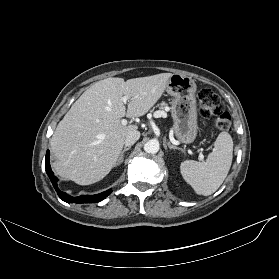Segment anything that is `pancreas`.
<instances>
[{
  "label": "pancreas",
  "mask_w": 279,
  "mask_h": 279,
  "mask_svg": "<svg viewBox=\"0 0 279 279\" xmlns=\"http://www.w3.org/2000/svg\"><path fill=\"white\" fill-rule=\"evenodd\" d=\"M167 107H168V105H167L165 102H162V103L158 104V108H159L161 111L166 110Z\"/></svg>",
  "instance_id": "cf45deb5"
}]
</instances>
